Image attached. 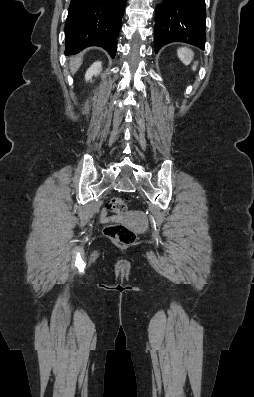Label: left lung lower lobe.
Here are the masks:
<instances>
[{"label": "left lung lower lobe", "mask_w": 254, "mask_h": 397, "mask_svg": "<svg viewBox=\"0 0 254 397\" xmlns=\"http://www.w3.org/2000/svg\"><path fill=\"white\" fill-rule=\"evenodd\" d=\"M205 21L204 0H163L155 13V52L171 42H185L204 49Z\"/></svg>", "instance_id": "left-lung-lower-lobe-1"}]
</instances>
